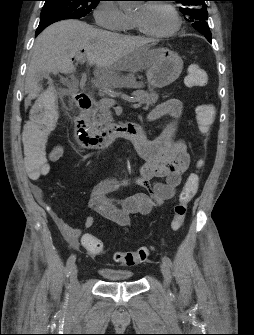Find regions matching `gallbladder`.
<instances>
[{"label":"gallbladder","instance_id":"1","mask_svg":"<svg viewBox=\"0 0 254 335\" xmlns=\"http://www.w3.org/2000/svg\"><path fill=\"white\" fill-rule=\"evenodd\" d=\"M42 77H45V78H48V79L50 78L48 74H46V75L40 74V78H42Z\"/></svg>","mask_w":254,"mask_h":335}]
</instances>
